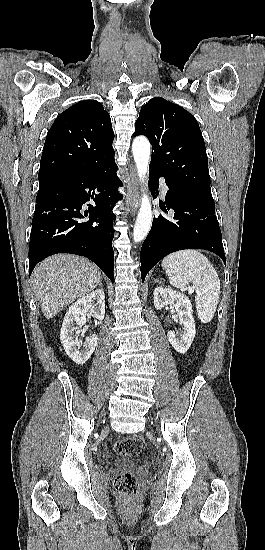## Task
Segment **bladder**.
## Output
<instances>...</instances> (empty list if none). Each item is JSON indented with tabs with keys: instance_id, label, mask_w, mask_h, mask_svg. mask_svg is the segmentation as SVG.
<instances>
[{
	"instance_id": "31cf9c89",
	"label": "bladder",
	"mask_w": 265,
	"mask_h": 550,
	"mask_svg": "<svg viewBox=\"0 0 265 550\" xmlns=\"http://www.w3.org/2000/svg\"><path fill=\"white\" fill-rule=\"evenodd\" d=\"M121 457V463L124 466H129L132 463V457L133 456H127V455H119Z\"/></svg>"
}]
</instances>
